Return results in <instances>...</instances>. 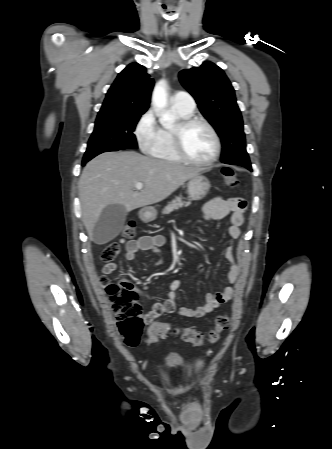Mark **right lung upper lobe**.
<instances>
[{
	"mask_svg": "<svg viewBox=\"0 0 332 449\" xmlns=\"http://www.w3.org/2000/svg\"><path fill=\"white\" fill-rule=\"evenodd\" d=\"M153 86L154 81L145 67L137 63L129 64L108 90L98 116L143 114L149 107Z\"/></svg>",
	"mask_w": 332,
	"mask_h": 449,
	"instance_id": "cb5924a9",
	"label": "right lung upper lobe"
}]
</instances>
